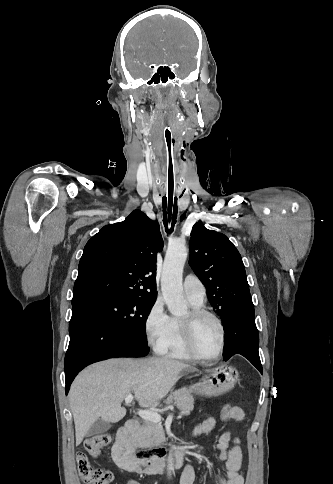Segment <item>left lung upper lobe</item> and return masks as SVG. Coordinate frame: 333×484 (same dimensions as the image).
Segmentation results:
<instances>
[{
    "instance_id": "obj_1",
    "label": "left lung upper lobe",
    "mask_w": 333,
    "mask_h": 484,
    "mask_svg": "<svg viewBox=\"0 0 333 484\" xmlns=\"http://www.w3.org/2000/svg\"><path fill=\"white\" fill-rule=\"evenodd\" d=\"M190 251V265L224 320L231 307L251 296L241 255L227 236L206 229L201 222L192 228Z\"/></svg>"
}]
</instances>
